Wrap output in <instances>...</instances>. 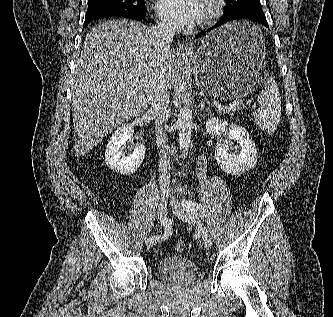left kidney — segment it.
<instances>
[{
    "label": "left kidney",
    "instance_id": "obj_1",
    "mask_svg": "<svg viewBox=\"0 0 333 317\" xmlns=\"http://www.w3.org/2000/svg\"><path fill=\"white\" fill-rule=\"evenodd\" d=\"M206 131L212 136H220L228 131L240 145L239 155L229 153L227 145L220 144L216 147L215 158L224 172L230 175H241L254 167L257 162L255 142L242 126L229 124L221 118H210L206 121Z\"/></svg>",
    "mask_w": 333,
    "mask_h": 317
}]
</instances>
